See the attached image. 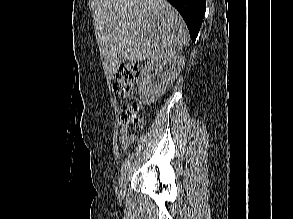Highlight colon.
Wrapping results in <instances>:
<instances>
[{
	"mask_svg": "<svg viewBox=\"0 0 293 219\" xmlns=\"http://www.w3.org/2000/svg\"><path fill=\"white\" fill-rule=\"evenodd\" d=\"M138 79L139 67L137 64L121 66L113 85L115 94L123 100L132 98ZM140 109L141 103L137 100H132L122 107L119 115V123L122 128L137 131L142 127L143 120L139 117Z\"/></svg>",
	"mask_w": 293,
	"mask_h": 219,
	"instance_id": "obj_1",
	"label": "colon"
}]
</instances>
